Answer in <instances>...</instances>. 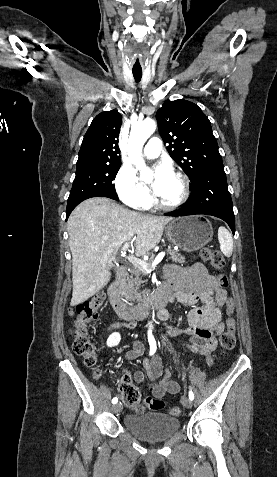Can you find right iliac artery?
I'll use <instances>...</instances> for the list:
<instances>
[{"label": "right iliac artery", "instance_id": "right-iliac-artery-1", "mask_svg": "<svg viewBox=\"0 0 277 477\" xmlns=\"http://www.w3.org/2000/svg\"><path fill=\"white\" fill-rule=\"evenodd\" d=\"M148 341L150 345V355H153L156 351V342L151 332L148 333ZM118 399L115 397L112 399V403L116 404Z\"/></svg>", "mask_w": 277, "mask_h": 477}]
</instances>
